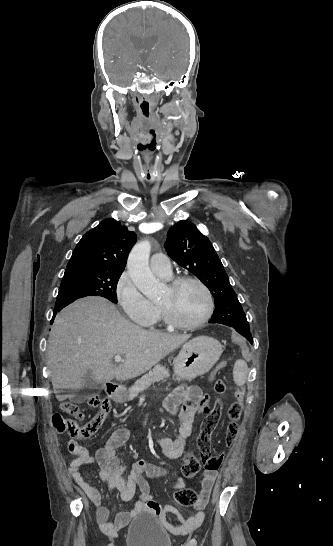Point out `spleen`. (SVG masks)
I'll return each instance as SVG.
<instances>
[{
  "label": "spleen",
  "instance_id": "1",
  "mask_svg": "<svg viewBox=\"0 0 333 546\" xmlns=\"http://www.w3.org/2000/svg\"><path fill=\"white\" fill-rule=\"evenodd\" d=\"M248 374L247 363L244 360H237L233 368V379L238 386L246 383Z\"/></svg>",
  "mask_w": 333,
  "mask_h": 546
}]
</instances>
